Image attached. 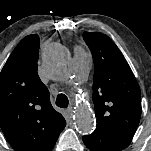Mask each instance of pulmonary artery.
<instances>
[{
	"instance_id": "obj_1",
	"label": "pulmonary artery",
	"mask_w": 151,
	"mask_h": 151,
	"mask_svg": "<svg viewBox=\"0 0 151 151\" xmlns=\"http://www.w3.org/2000/svg\"><path fill=\"white\" fill-rule=\"evenodd\" d=\"M91 62V55L81 47H76L74 50L73 70L76 79L79 81L85 80L89 65Z\"/></svg>"
}]
</instances>
